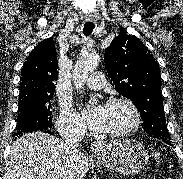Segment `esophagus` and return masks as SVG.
I'll list each match as a JSON object with an SVG mask.
<instances>
[{
	"label": "esophagus",
	"instance_id": "obj_1",
	"mask_svg": "<svg viewBox=\"0 0 183 179\" xmlns=\"http://www.w3.org/2000/svg\"><path fill=\"white\" fill-rule=\"evenodd\" d=\"M99 148H100V144H98V143H94V144L92 145L93 151H96V150H98Z\"/></svg>",
	"mask_w": 183,
	"mask_h": 179
}]
</instances>
